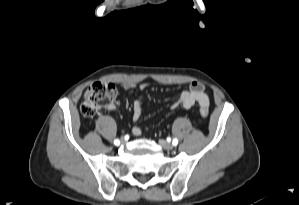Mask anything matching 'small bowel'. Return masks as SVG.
Segmentation results:
<instances>
[{"mask_svg": "<svg viewBox=\"0 0 299 205\" xmlns=\"http://www.w3.org/2000/svg\"><path fill=\"white\" fill-rule=\"evenodd\" d=\"M125 89L135 88L138 87L141 91L145 90L147 85L146 84H139L136 85L134 83H125L122 85ZM199 104L200 106L207 107L209 106V98L205 93L204 86L200 82L193 81L190 83L189 88L184 90L179 98L171 105L172 109H175L178 106H182L183 108H190L194 104ZM110 109H115L114 105L109 107ZM143 108L140 99H135L132 105V117L134 121H138L142 116ZM132 133L135 136H140L142 130L139 126H134L132 128Z\"/></svg>", "mask_w": 299, "mask_h": 205, "instance_id": "small-bowel-1", "label": "small bowel"}]
</instances>
